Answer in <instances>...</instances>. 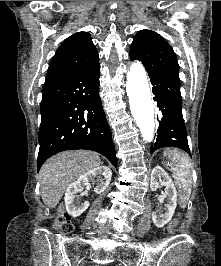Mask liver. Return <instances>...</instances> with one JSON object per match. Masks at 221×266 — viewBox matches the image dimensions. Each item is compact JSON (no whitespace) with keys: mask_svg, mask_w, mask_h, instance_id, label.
I'll return each instance as SVG.
<instances>
[{"mask_svg":"<svg viewBox=\"0 0 221 266\" xmlns=\"http://www.w3.org/2000/svg\"><path fill=\"white\" fill-rule=\"evenodd\" d=\"M100 164L99 154L86 150L66 151L48 159L39 172L45 205L55 208L73 181Z\"/></svg>","mask_w":221,"mask_h":266,"instance_id":"6515ba94","label":"liver"}]
</instances>
